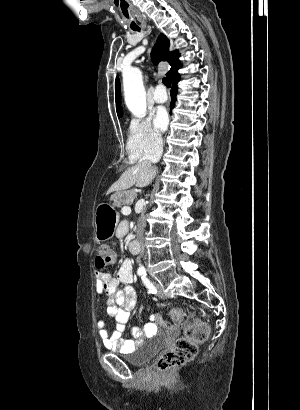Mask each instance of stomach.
<instances>
[{"label":"stomach","mask_w":300,"mask_h":410,"mask_svg":"<svg viewBox=\"0 0 300 410\" xmlns=\"http://www.w3.org/2000/svg\"><path fill=\"white\" fill-rule=\"evenodd\" d=\"M120 192L117 191L111 196L113 205H100L97 207L95 214V236L98 241H106L113 237L117 224L119 222V214L115 210L117 198Z\"/></svg>","instance_id":"1"}]
</instances>
